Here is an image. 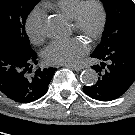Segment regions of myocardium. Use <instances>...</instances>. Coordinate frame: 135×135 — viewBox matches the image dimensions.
<instances>
[{"label":"myocardium","mask_w":135,"mask_h":135,"mask_svg":"<svg viewBox=\"0 0 135 135\" xmlns=\"http://www.w3.org/2000/svg\"><path fill=\"white\" fill-rule=\"evenodd\" d=\"M90 6H95L98 10V22L93 29H88L85 24V12ZM107 19V10L101 0H84L71 19V23L74 31L83 35L89 42L93 43L102 36L107 25Z\"/></svg>","instance_id":"f54148a6"}]
</instances>
